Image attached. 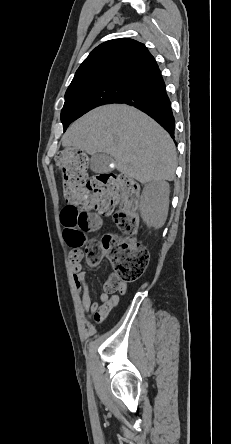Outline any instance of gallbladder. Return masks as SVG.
<instances>
[{
    "instance_id": "bac80fb5",
    "label": "gallbladder",
    "mask_w": 231,
    "mask_h": 444,
    "mask_svg": "<svg viewBox=\"0 0 231 444\" xmlns=\"http://www.w3.org/2000/svg\"><path fill=\"white\" fill-rule=\"evenodd\" d=\"M111 157L105 153H97L91 157L90 168L95 173H104L111 170L109 164Z\"/></svg>"
}]
</instances>
